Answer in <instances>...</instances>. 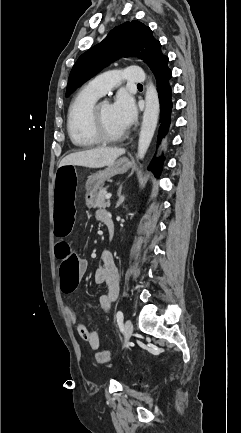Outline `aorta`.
<instances>
[{
  "mask_svg": "<svg viewBox=\"0 0 241 433\" xmlns=\"http://www.w3.org/2000/svg\"><path fill=\"white\" fill-rule=\"evenodd\" d=\"M159 116V98L153 85L149 83L146 89L145 110L138 140V159L142 160L153 138Z\"/></svg>",
  "mask_w": 241,
  "mask_h": 433,
  "instance_id": "aorta-1",
  "label": "aorta"
}]
</instances>
